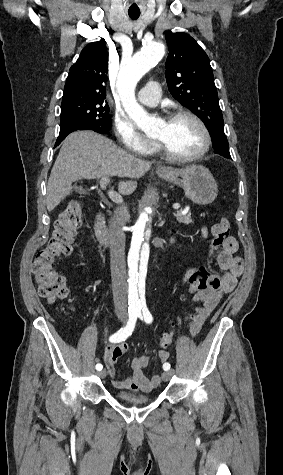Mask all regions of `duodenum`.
<instances>
[{
  "mask_svg": "<svg viewBox=\"0 0 283 475\" xmlns=\"http://www.w3.org/2000/svg\"><path fill=\"white\" fill-rule=\"evenodd\" d=\"M94 231L98 243L104 248H109V239L107 235V226L105 215L103 212H99L96 215L94 222Z\"/></svg>",
  "mask_w": 283,
  "mask_h": 475,
  "instance_id": "duodenum-1",
  "label": "duodenum"
}]
</instances>
